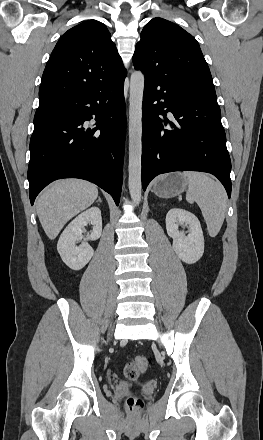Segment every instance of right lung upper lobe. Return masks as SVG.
<instances>
[{
  "mask_svg": "<svg viewBox=\"0 0 263 440\" xmlns=\"http://www.w3.org/2000/svg\"><path fill=\"white\" fill-rule=\"evenodd\" d=\"M126 77L122 59L105 24L88 20L69 29L57 42L39 88V107Z\"/></svg>",
  "mask_w": 263,
  "mask_h": 440,
  "instance_id": "obj_1",
  "label": "right lung upper lobe"
}]
</instances>
